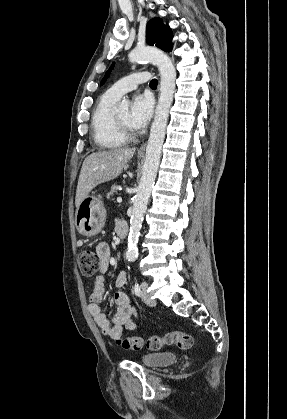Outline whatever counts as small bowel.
<instances>
[{
	"mask_svg": "<svg viewBox=\"0 0 287 419\" xmlns=\"http://www.w3.org/2000/svg\"><path fill=\"white\" fill-rule=\"evenodd\" d=\"M124 222L118 221L117 226ZM96 252L101 258V274L94 279V289L90 295L88 309L101 331L112 339H119L122 336L123 329L135 330L136 324L133 317L137 315L135 307L130 298L124 292H116L114 295L117 304V310L110 321L103 312L100 303L103 300L105 278L103 273L107 270L110 258V250L106 243H100ZM127 273L120 272L116 278L117 287H123L127 283Z\"/></svg>",
	"mask_w": 287,
	"mask_h": 419,
	"instance_id": "c3829d8e",
	"label": "small bowel"
}]
</instances>
